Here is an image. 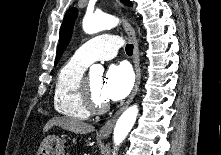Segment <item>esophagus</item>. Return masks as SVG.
Returning <instances> with one entry per match:
<instances>
[{
	"label": "esophagus",
	"mask_w": 221,
	"mask_h": 155,
	"mask_svg": "<svg viewBox=\"0 0 221 155\" xmlns=\"http://www.w3.org/2000/svg\"><path fill=\"white\" fill-rule=\"evenodd\" d=\"M115 5L118 8L119 12L122 15V4L120 3L119 0H115ZM123 27L125 32L127 33L130 41L133 43L134 49H133V63H134V69H135V74H136V80H135V85L134 88L125 102V104L102 126V128L99 130L98 135L100 137H108L113 129V126L118 118V116L122 113L124 109L127 108V106L132 102L133 98L135 97L139 84H140V78H141V69H140V59H139V45H138V39L136 37V33L134 28L131 26V24L124 20L123 21Z\"/></svg>",
	"instance_id": "esophagus-1"
}]
</instances>
